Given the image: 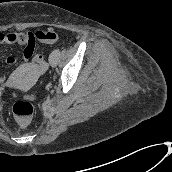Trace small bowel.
Masks as SVG:
<instances>
[{"label": "small bowel", "mask_w": 172, "mask_h": 172, "mask_svg": "<svg viewBox=\"0 0 172 172\" xmlns=\"http://www.w3.org/2000/svg\"><path fill=\"white\" fill-rule=\"evenodd\" d=\"M46 31H37L35 33L30 31L25 32H8L2 33L0 32V48H5L8 45L19 44L24 46L22 51V57L26 62H30L31 60H35L34 50L36 46V42L40 41L43 43H47L43 41V37ZM17 59L15 56H8L6 58V63L8 65H14ZM5 77L0 76V82H4Z\"/></svg>", "instance_id": "small-bowel-1"}]
</instances>
